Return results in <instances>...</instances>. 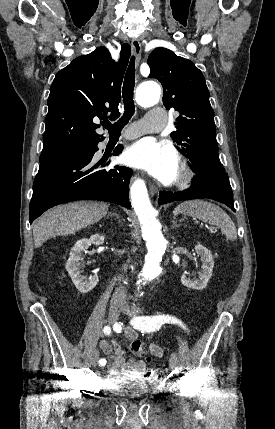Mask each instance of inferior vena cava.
Segmentation results:
<instances>
[{
	"label": "inferior vena cava",
	"mask_w": 275,
	"mask_h": 429,
	"mask_svg": "<svg viewBox=\"0 0 275 429\" xmlns=\"http://www.w3.org/2000/svg\"><path fill=\"white\" fill-rule=\"evenodd\" d=\"M111 302L114 304H120V305H125L126 304V297H125V290L124 287L119 286L116 288Z\"/></svg>",
	"instance_id": "obj_1"
}]
</instances>
